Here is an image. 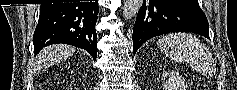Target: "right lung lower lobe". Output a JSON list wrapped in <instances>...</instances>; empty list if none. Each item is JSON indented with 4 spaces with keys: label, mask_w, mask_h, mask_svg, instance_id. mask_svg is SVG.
I'll return each instance as SVG.
<instances>
[{
    "label": "right lung lower lobe",
    "mask_w": 237,
    "mask_h": 90,
    "mask_svg": "<svg viewBox=\"0 0 237 90\" xmlns=\"http://www.w3.org/2000/svg\"><path fill=\"white\" fill-rule=\"evenodd\" d=\"M98 11V1L41 4L33 36L34 54L50 44L65 43L85 49L96 60Z\"/></svg>",
    "instance_id": "1"
}]
</instances>
